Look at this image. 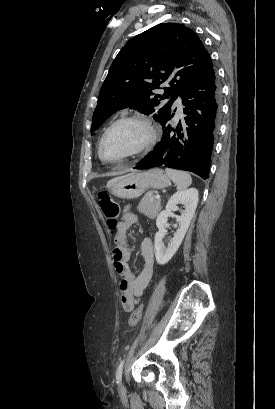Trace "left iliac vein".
I'll use <instances>...</instances> for the list:
<instances>
[{
  "mask_svg": "<svg viewBox=\"0 0 275 409\" xmlns=\"http://www.w3.org/2000/svg\"><path fill=\"white\" fill-rule=\"evenodd\" d=\"M124 390V384L123 383H119V391H123Z\"/></svg>",
  "mask_w": 275,
  "mask_h": 409,
  "instance_id": "left-iliac-vein-1",
  "label": "left iliac vein"
}]
</instances>
